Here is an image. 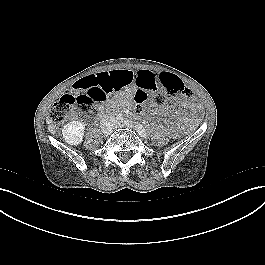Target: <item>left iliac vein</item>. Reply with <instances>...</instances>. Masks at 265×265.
<instances>
[{"instance_id": "4c4485c4", "label": "left iliac vein", "mask_w": 265, "mask_h": 265, "mask_svg": "<svg viewBox=\"0 0 265 265\" xmlns=\"http://www.w3.org/2000/svg\"><path fill=\"white\" fill-rule=\"evenodd\" d=\"M116 128H119V127H128V128H132V129H135L136 128V125L130 121V120H124L122 122H119L115 125ZM145 139H148V135H146L145 137H143Z\"/></svg>"}]
</instances>
